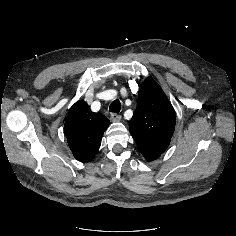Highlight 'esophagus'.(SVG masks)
Masks as SVG:
<instances>
[{"label":"esophagus","mask_w":236,"mask_h":236,"mask_svg":"<svg viewBox=\"0 0 236 236\" xmlns=\"http://www.w3.org/2000/svg\"><path fill=\"white\" fill-rule=\"evenodd\" d=\"M110 117L113 122H119L121 120V116L116 113H112Z\"/></svg>","instance_id":"esophagus-1"}]
</instances>
